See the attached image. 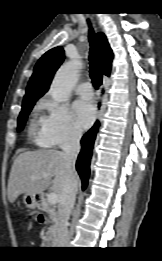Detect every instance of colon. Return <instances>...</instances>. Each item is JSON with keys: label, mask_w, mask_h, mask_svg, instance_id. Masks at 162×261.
I'll list each match as a JSON object with an SVG mask.
<instances>
[{"label": "colon", "mask_w": 162, "mask_h": 261, "mask_svg": "<svg viewBox=\"0 0 162 261\" xmlns=\"http://www.w3.org/2000/svg\"><path fill=\"white\" fill-rule=\"evenodd\" d=\"M35 217H36L35 215H30V218H31V219H33V218H35ZM36 218L38 219V221L42 222V216H41V215H40V216H37Z\"/></svg>", "instance_id": "1"}]
</instances>
